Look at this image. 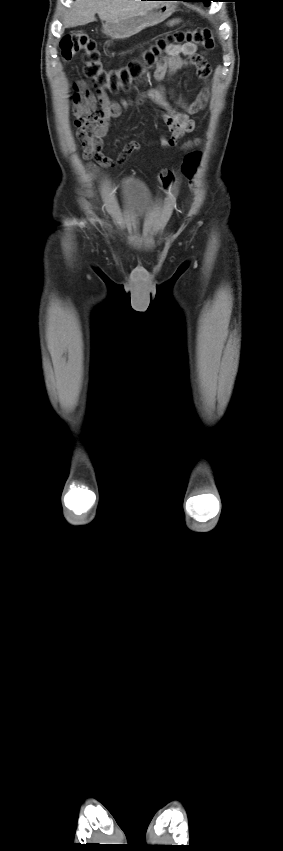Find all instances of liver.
<instances>
[{
  "label": "liver",
  "mask_w": 283,
  "mask_h": 851,
  "mask_svg": "<svg viewBox=\"0 0 283 851\" xmlns=\"http://www.w3.org/2000/svg\"><path fill=\"white\" fill-rule=\"evenodd\" d=\"M155 3L141 0H76L64 16L63 23L67 27L85 25L95 21L96 13L102 21H117L144 11Z\"/></svg>",
  "instance_id": "1"
}]
</instances>
